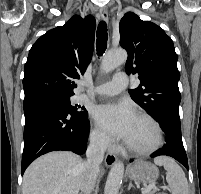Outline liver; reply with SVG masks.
Instances as JSON below:
<instances>
[{"label":"liver","mask_w":201,"mask_h":194,"mask_svg":"<svg viewBox=\"0 0 201 194\" xmlns=\"http://www.w3.org/2000/svg\"><path fill=\"white\" fill-rule=\"evenodd\" d=\"M84 161L67 151H56L36 159L25 171L22 194H78Z\"/></svg>","instance_id":"liver-1"}]
</instances>
